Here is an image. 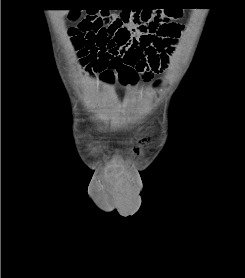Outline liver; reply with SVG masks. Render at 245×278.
I'll return each mask as SVG.
<instances>
[{
  "instance_id": "1",
  "label": "liver",
  "mask_w": 245,
  "mask_h": 278,
  "mask_svg": "<svg viewBox=\"0 0 245 278\" xmlns=\"http://www.w3.org/2000/svg\"><path fill=\"white\" fill-rule=\"evenodd\" d=\"M63 11V10H62ZM65 12H64V14H66V12H67V10H64Z\"/></svg>"
}]
</instances>
